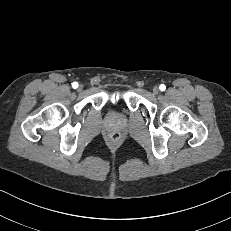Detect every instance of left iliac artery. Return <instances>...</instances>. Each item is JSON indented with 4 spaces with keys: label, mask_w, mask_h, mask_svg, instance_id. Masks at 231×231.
Returning a JSON list of instances; mask_svg holds the SVG:
<instances>
[{
    "label": "left iliac artery",
    "mask_w": 231,
    "mask_h": 231,
    "mask_svg": "<svg viewBox=\"0 0 231 231\" xmlns=\"http://www.w3.org/2000/svg\"><path fill=\"white\" fill-rule=\"evenodd\" d=\"M159 88H160L161 91H164V90L166 89V86H165L164 84H161V85L159 86Z\"/></svg>",
    "instance_id": "1"
}]
</instances>
